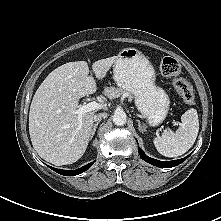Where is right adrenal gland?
I'll list each match as a JSON object with an SVG mask.
<instances>
[{
  "label": "right adrenal gland",
  "instance_id": "obj_1",
  "mask_svg": "<svg viewBox=\"0 0 221 221\" xmlns=\"http://www.w3.org/2000/svg\"><path fill=\"white\" fill-rule=\"evenodd\" d=\"M100 121L96 122L94 125H93V128H92V132H91V135H90V140L93 138V136L95 135V132H96V129L99 125Z\"/></svg>",
  "mask_w": 221,
  "mask_h": 221
}]
</instances>
